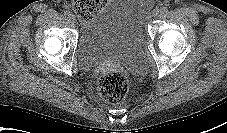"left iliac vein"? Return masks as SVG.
Here are the masks:
<instances>
[{"mask_svg":"<svg viewBox=\"0 0 227 133\" xmlns=\"http://www.w3.org/2000/svg\"><path fill=\"white\" fill-rule=\"evenodd\" d=\"M159 15V10L158 9H154L152 12V16L153 17H157Z\"/></svg>","mask_w":227,"mask_h":133,"instance_id":"obj_1","label":"left iliac vein"}]
</instances>
